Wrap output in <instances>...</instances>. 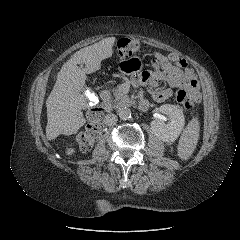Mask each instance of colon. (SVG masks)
<instances>
[{
    "label": "colon",
    "mask_w": 240,
    "mask_h": 240,
    "mask_svg": "<svg viewBox=\"0 0 240 240\" xmlns=\"http://www.w3.org/2000/svg\"><path fill=\"white\" fill-rule=\"evenodd\" d=\"M142 48V43L134 38H121L117 42V51L121 56H130ZM175 101L186 110H191L195 105L194 96L186 90H179L175 95ZM101 116L102 112L99 107H94L89 111V124L87 129L76 135V142L82 151L91 149L99 138L101 131Z\"/></svg>",
    "instance_id": "1"
}]
</instances>
